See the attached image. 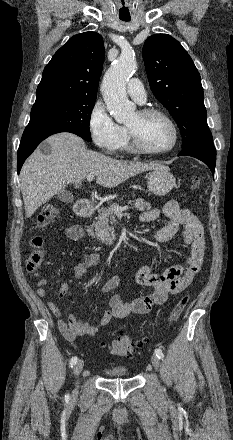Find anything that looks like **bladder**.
Returning <instances> with one entry per match:
<instances>
[{"label": "bladder", "instance_id": "1", "mask_svg": "<svg viewBox=\"0 0 233 440\" xmlns=\"http://www.w3.org/2000/svg\"><path fill=\"white\" fill-rule=\"evenodd\" d=\"M105 374L110 378H126L127 370L124 367H109L105 370Z\"/></svg>", "mask_w": 233, "mask_h": 440}]
</instances>
